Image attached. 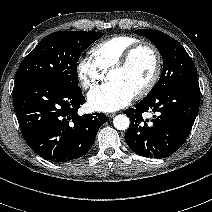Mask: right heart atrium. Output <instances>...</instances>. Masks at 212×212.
Returning <instances> with one entry per match:
<instances>
[{
    "instance_id": "1",
    "label": "right heart atrium",
    "mask_w": 212,
    "mask_h": 212,
    "mask_svg": "<svg viewBox=\"0 0 212 212\" xmlns=\"http://www.w3.org/2000/svg\"><path fill=\"white\" fill-rule=\"evenodd\" d=\"M76 74L84 90L93 88L106 77V73L101 70L92 59L87 57H82L78 60L76 64Z\"/></svg>"
}]
</instances>
